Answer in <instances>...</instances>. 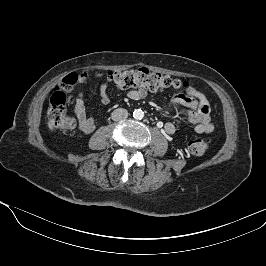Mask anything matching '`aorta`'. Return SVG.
Masks as SVG:
<instances>
[{
    "mask_svg": "<svg viewBox=\"0 0 266 266\" xmlns=\"http://www.w3.org/2000/svg\"><path fill=\"white\" fill-rule=\"evenodd\" d=\"M133 117L135 119L141 120L144 117V112L141 109H136L133 112Z\"/></svg>",
    "mask_w": 266,
    "mask_h": 266,
    "instance_id": "762f6f07",
    "label": "aorta"
}]
</instances>
